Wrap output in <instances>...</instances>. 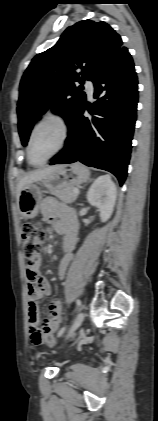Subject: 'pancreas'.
<instances>
[{
    "mask_svg": "<svg viewBox=\"0 0 158 421\" xmlns=\"http://www.w3.org/2000/svg\"><path fill=\"white\" fill-rule=\"evenodd\" d=\"M74 189L75 187H68L53 191L52 194L59 198L62 202L70 204L73 203L77 198V195L74 194Z\"/></svg>",
    "mask_w": 158,
    "mask_h": 421,
    "instance_id": "cf45deb5",
    "label": "pancreas"
}]
</instances>
